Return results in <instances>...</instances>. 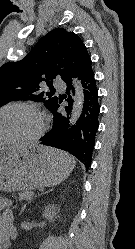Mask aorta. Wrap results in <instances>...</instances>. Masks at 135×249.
I'll use <instances>...</instances> for the list:
<instances>
[{
  "instance_id": "1",
  "label": "aorta",
  "mask_w": 135,
  "mask_h": 249,
  "mask_svg": "<svg viewBox=\"0 0 135 249\" xmlns=\"http://www.w3.org/2000/svg\"><path fill=\"white\" fill-rule=\"evenodd\" d=\"M72 82L75 87V96L71 113L70 125L76 124V121L79 119L84 101V93L82 88L80 87L78 82H76V80H73Z\"/></svg>"
}]
</instances>
